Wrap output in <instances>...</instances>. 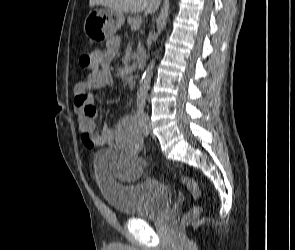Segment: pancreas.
I'll return each instance as SVG.
<instances>
[{"mask_svg": "<svg viewBox=\"0 0 295 250\" xmlns=\"http://www.w3.org/2000/svg\"><path fill=\"white\" fill-rule=\"evenodd\" d=\"M139 20H140V18L137 17V16H130V17H128L127 22L130 25V27H131L132 30L138 29V28H134V24L136 22H138ZM139 47H140V43H139Z\"/></svg>", "mask_w": 295, "mask_h": 250, "instance_id": "pancreas-1", "label": "pancreas"}]
</instances>
